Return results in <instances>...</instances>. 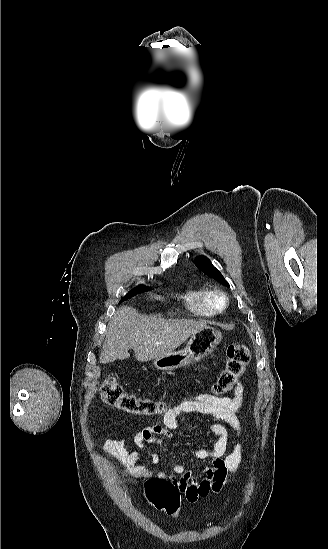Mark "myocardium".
Returning <instances> with one entry per match:
<instances>
[{
    "instance_id": "obj_1",
    "label": "myocardium",
    "mask_w": 328,
    "mask_h": 549,
    "mask_svg": "<svg viewBox=\"0 0 328 549\" xmlns=\"http://www.w3.org/2000/svg\"><path fill=\"white\" fill-rule=\"evenodd\" d=\"M211 300L213 303V310L215 313H222L227 310L229 305L228 295L221 290H215L211 292Z\"/></svg>"
}]
</instances>
